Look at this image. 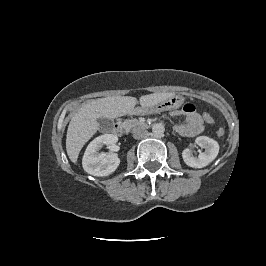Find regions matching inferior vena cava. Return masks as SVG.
Returning a JSON list of instances; mask_svg holds the SVG:
<instances>
[{
    "label": "inferior vena cava",
    "mask_w": 266,
    "mask_h": 266,
    "mask_svg": "<svg viewBox=\"0 0 266 266\" xmlns=\"http://www.w3.org/2000/svg\"><path fill=\"white\" fill-rule=\"evenodd\" d=\"M148 134L147 130L138 128L133 131V137L135 139H141L144 138Z\"/></svg>",
    "instance_id": "inferior-vena-cava-1"
}]
</instances>
